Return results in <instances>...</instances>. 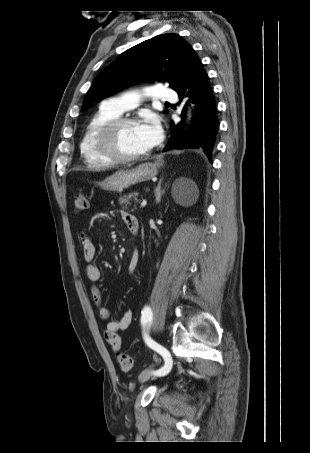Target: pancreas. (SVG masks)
Segmentation results:
<instances>
[{"instance_id": "cf45deb5", "label": "pancreas", "mask_w": 310, "mask_h": 453, "mask_svg": "<svg viewBox=\"0 0 310 453\" xmlns=\"http://www.w3.org/2000/svg\"><path fill=\"white\" fill-rule=\"evenodd\" d=\"M138 193H130L128 195H125L119 199V204L123 205V208H128V206H131V200H137Z\"/></svg>"}]
</instances>
